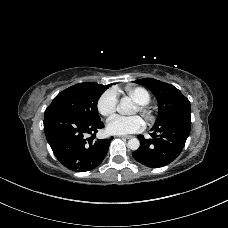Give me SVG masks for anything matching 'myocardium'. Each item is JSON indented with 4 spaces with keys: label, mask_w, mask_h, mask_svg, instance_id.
I'll list each match as a JSON object with an SVG mask.
<instances>
[{
    "label": "myocardium",
    "mask_w": 228,
    "mask_h": 228,
    "mask_svg": "<svg viewBox=\"0 0 228 228\" xmlns=\"http://www.w3.org/2000/svg\"><path fill=\"white\" fill-rule=\"evenodd\" d=\"M138 112L147 120L151 121L153 119L152 111L146 105L137 104Z\"/></svg>",
    "instance_id": "1"
}]
</instances>
